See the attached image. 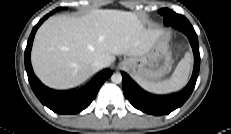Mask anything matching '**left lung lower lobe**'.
I'll use <instances>...</instances> for the list:
<instances>
[{
    "instance_id": "1",
    "label": "left lung lower lobe",
    "mask_w": 231,
    "mask_h": 134,
    "mask_svg": "<svg viewBox=\"0 0 231 134\" xmlns=\"http://www.w3.org/2000/svg\"><path fill=\"white\" fill-rule=\"evenodd\" d=\"M170 20L171 26L183 31L188 36L194 51V69L192 77L185 89L179 94L167 98H155L140 88L128 74L125 72L122 73V88L125 97L135 108L148 114H169L176 108L182 106V104L191 95L199 74L200 54L198 37L194 28L184 16L176 14L173 11L171 13Z\"/></svg>"
}]
</instances>
